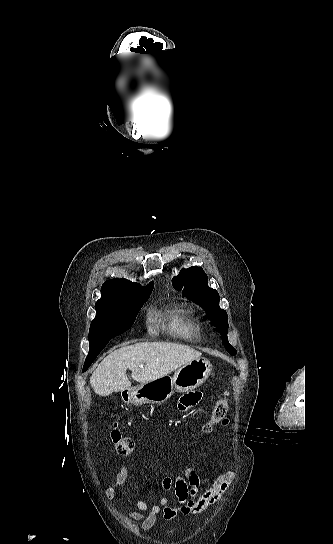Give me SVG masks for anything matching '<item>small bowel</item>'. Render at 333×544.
Segmentation results:
<instances>
[{"label": "small bowel", "mask_w": 333, "mask_h": 544, "mask_svg": "<svg viewBox=\"0 0 333 544\" xmlns=\"http://www.w3.org/2000/svg\"><path fill=\"white\" fill-rule=\"evenodd\" d=\"M202 393L200 391L189 392L183 395L178 402V410L181 413L190 412L201 401ZM227 421L224 420L223 424ZM130 475L129 465L121 467L113 483L105 490V496L108 500L114 499L117 491L125 484ZM235 478L233 471H227L214 478L211 485L201 490L200 478L193 469H185L172 481L167 477L163 481V487L169 490L173 487L178 506L169 505V499L162 497L157 504L149 505L143 500L136 501V511H128L125 515L134 521H141L142 528L150 529L156 522L157 515L163 513L164 518L171 519L179 514H199L214 503L226 492L229 485Z\"/></svg>", "instance_id": "1"}]
</instances>
